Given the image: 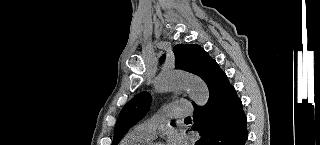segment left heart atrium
Wrapping results in <instances>:
<instances>
[{
    "mask_svg": "<svg viewBox=\"0 0 320 145\" xmlns=\"http://www.w3.org/2000/svg\"><path fill=\"white\" fill-rule=\"evenodd\" d=\"M169 145H185V139L181 134L173 133L168 139Z\"/></svg>",
    "mask_w": 320,
    "mask_h": 145,
    "instance_id": "1",
    "label": "left heart atrium"
}]
</instances>
